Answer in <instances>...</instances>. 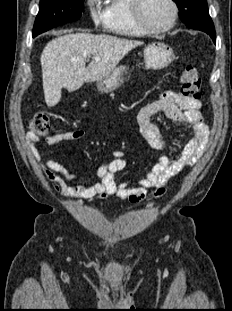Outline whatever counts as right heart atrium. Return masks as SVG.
<instances>
[{
  "label": "right heart atrium",
  "mask_w": 232,
  "mask_h": 311,
  "mask_svg": "<svg viewBox=\"0 0 232 311\" xmlns=\"http://www.w3.org/2000/svg\"><path fill=\"white\" fill-rule=\"evenodd\" d=\"M101 0H86L91 18L96 25L104 24L105 14L99 9Z\"/></svg>",
  "instance_id": "d8ad5b80"
}]
</instances>
